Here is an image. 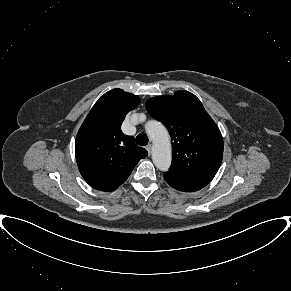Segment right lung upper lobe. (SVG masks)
I'll return each instance as SVG.
<instances>
[{
	"label": "right lung upper lobe",
	"instance_id": "cb5924a9",
	"mask_svg": "<svg viewBox=\"0 0 291 291\" xmlns=\"http://www.w3.org/2000/svg\"><path fill=\"white\" fill-rule=\"evenodd\" d=\"M140 98L122 89H113L95 103L79 129L75 154L79 171L94 189L113 191L127 180L148 152L135 144L133 136L121 131L126 114Z\"/></svg>",
	"mask_w": 291,
	"mask_h": 291
}]
</instances>
